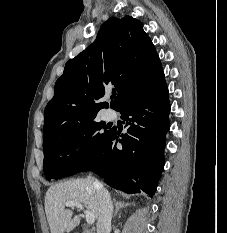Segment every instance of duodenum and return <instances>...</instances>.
<instances>
[{"mask_svg": "<svg viewBox=\"0 0 227 233\" xmlns=\"http://www.w3.org/2000/svg\"><path fill=\"white\" fill-rule=\"evenodd\" d=\"M83 233H92V232H90V231H85V232H83Z\"/></svg>", "mask_w": 227, "mask_h": 233, "instance_id": "duodenum-1", "label": "duodenum"}]
</instances>
